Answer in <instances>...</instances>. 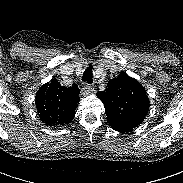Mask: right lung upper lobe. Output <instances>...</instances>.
<instances>
[{
	"mask_svg": "<svg viewBox=\"0 0 183 183\" xmlns=\"http://www.w3.org/2000/svg\"><path fill=\"white\" fill-rule=\"evenodd\" d=\"M79 88L61 86L53 79L39 88L35 104L42 121L49 126L65 125L72 121L79 103Z\"/></svg>",
	"mask_w": 183,
	"mask_h": 183,
	"instance_id": "right-lung-upper-lobe-1",
	"label": "right lung upper lobe"
}]
</instances>
